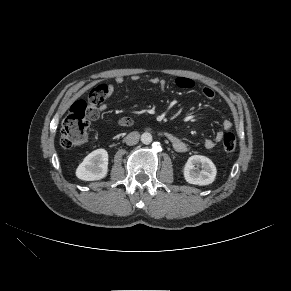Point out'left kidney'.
<instances>
[{
  "label": "left kidney",
  "mask_w": 291,
  "mask_h": 291,
  "mask_svg": "<svg viewBox=\"0 0 291 291\" xmlns=\"http://www.w3.org/2000/svg\"><path fill=\"white\" fill-rule=\"evenodd\" d=\"M196 166H201L202 170L198 171ZM216 173L217 170L214 163L202 155L189 157L183 170L184 178L188 183L200 186L214 182Z\"/></svg>",
  "instance_id": "5707ae66"
}]
</instances>
